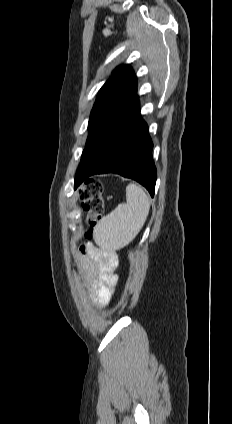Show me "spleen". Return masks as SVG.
<instances>
[{"label": "spleen", "instance_id": "spleen-1", "mask_svg": "<svg viewBox=\"0 0 232 424\" xmlns=\"http://www.w3.org/2000/svg\"><path fill=\"white\" fill-rule=\"evenodd\" d=\"M149 209L146 192L139 185L130 183L126 187V203L119 204L97 222L94 228L95 243L105 251L125 247L140 232Z\"/></svg>", "mask_w": 232, "mask_h": 424}]
</instances>
